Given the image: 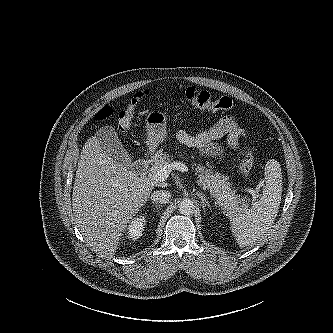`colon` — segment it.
<instances>
[{
    "label": "colon",
    "instance_id": "5ec220e1",
    "mask_svg": "<svg viewBox=\"0 0 333 333\" xmlns=\"http://www.w3.org/2000/svg\"><path fill=\"white\" fill-rule=\"evenodd\" d=\"M147 95V92L136 93L130 104L125 108H115L106 106L100 110L96 117V122H102L111 118H116L122 130L130 128L136 105ZM185 98L189 104L200 109L210 111H229L233 107L232 100L228 97H216L212 93L189 87L185 91ZM253 166V152L246 149L241 158V172L244 177L250 175Z\"/></svg>",
    "mask_w": 333,
    "mask_h": 333
}]
</instances>
